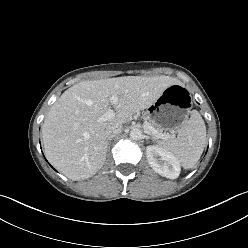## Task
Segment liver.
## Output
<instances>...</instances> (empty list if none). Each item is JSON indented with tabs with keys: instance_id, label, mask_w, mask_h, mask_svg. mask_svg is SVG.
<instances>
[{
	"instance_id": "6515ba94",
	"label": "liver",
	"mask_w": 248,
	"mask_h": 248,
	"mask_svg": "<svg viewBox=\"0 0 248 248\" xmlns=\"http://www.w3.org/2000/svg\"><path fill=\"white\" fill-rule=\"evenodd\" d=\"M174 84L180 82L161 75L87 80L73 85L51 107L42 126L47 159L72 180L93 176L106 159V128L126 123L134 113L154 104ZM113 95L118 97L116 104L110 101ZM111 104L115 116L101 121Z\"/></svg>"
}]
</instances>
